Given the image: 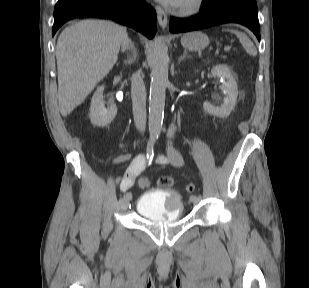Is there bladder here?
Returning a JSON list of instances; mask_svg holds the SVG:
<instances>
[{
  "mask_svg": "<svg viewBox=\"0 0 309 288\" xmlns=\"http://www.w3.org/2000/svg\"><path fill=\"white\" fill-rule=\"evenodd\" d=\"M183 199L175 190L154 189L142 194L136 204L139 216L150 220L175 221L182 215Z\"/></svg>",
  "mask_w": 309,
  "mask_h": 288,
  "instance_id": "1",
  "label": "bladder"
}]
</instances>
